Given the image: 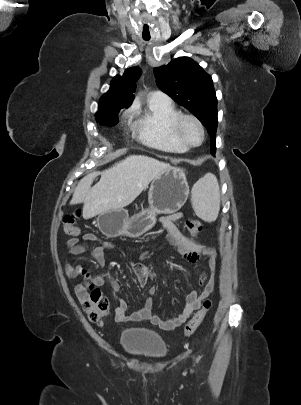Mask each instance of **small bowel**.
Returning <instances> with one entry per match:
<instances>
[{
  "instance_id": "c3829d8e",
  "label": "small bowel",
  "mask_w": 301,
  "mask_h": 405,
  "mask_svg": "<svg viewBox=\"0 0 301 405\" xmlns=\"http://www.w3.org/2000/svg\"><path fill=\"white\" fill-rule=\"evenodd\" d=\"M182 216L183 214L181 212H177L159 217L160 224L167 231L168 243L178 251L184 260L190 264H196L202 258H205L208 261L212 274L208 275L207 272H204L201 275V291H191L186 296L185 305L182 311L172 317L164 318L158 315H153L151 299H149L141 309L129 314L127 312V303L123 299H119L118 305L113 310L116 321H149L153 325H157L162 329L171 331L186 322L192 313L199 308L201 301L212 293L215 284L213 271L215 267L216 251L213 247L199 244L193 239L184 236L180 232L178 227L175 225V222L181 219ZM81 240L96 243V247L92 252V258L95 263L103 269L105 266V251L114 249L116 246L92 233H85L81 235L80 238L73 237L67 240L66 245L70 249L71 256L74 257L85 253L86 248L81 243ZM149 256L150 255L148 253H143L141 255V259L147 260L149 259ZM63 264L67 275L70 277H75L79 274H84L85 272L84 267L77 263L64 260ZM130 265L133 268L141 286L144 287L148 281L153 278V273L143 263L130 262ZM91 281L98 286L108 284L114 292L119 290V284L107 272H103L101 275L91 277ZM155 291V287L150 289L151 294H154ZM76 293L81 299L82 292L78 287L76 288Z\"/></svg>"
}]
</instances>
